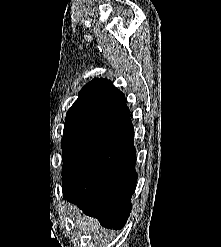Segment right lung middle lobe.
<instances>
[{"mask_svg": "<svg viewBox=\"0 0 221 247\" xmlns=\"http://www.w3.org/2000/svg\"><path fill=\"white\" fill-rule=\"evenodd\" d=\"M82 129L78 128H65L63 132V138L61 141V148L64 149L66 146L70 143L71 140H73L80 132Z\"/></svg>", "mask_w": 221, "mask_h": 247, "instance_id": "right-lung-middle-lobe-1", "label": "right lung middle lobe"}]
</instances>
